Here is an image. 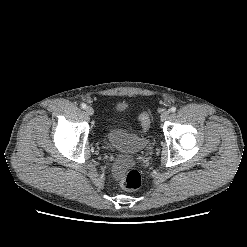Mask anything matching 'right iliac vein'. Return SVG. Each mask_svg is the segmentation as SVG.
Instances as JSON below:
<instances>
[{
	"label": "right iliac vein",
	"instance_id": "obj_1",
	"mask_svg": "<svg viewBox=\"0 0 247 247\" xmlns=\"http://www.w3.org/2000/svg\"><path fill=\"white\" fill-rule=\"evenodd\" d=\"M86 113L88 115H93L94 114V109L91 106L86 107Z\"/></svg>",
	"mask_w": 247,
	"mask_h": 247
}]
</instances>
